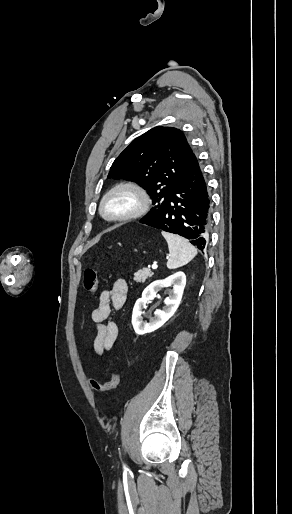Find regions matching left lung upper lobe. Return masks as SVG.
Segmentation results:
<instances>
[{"label": "left lung upper lobe", "mask_w": 292, "mask_h": 514, "mask_svg": "<svg viewBox=\"0 0 292 514\" xmlns=\"http://www.w3.org/2000/svg\"><path fill=\"white\" fill-rule=\"evenodd\" d=\"M192 155L181 130L158 126L134 139L115 159L107 177L134 181L147 190L154 207L142 219L149 221L185 176Z\"/></svg>", "instance_id": "1"}]
</instances>
